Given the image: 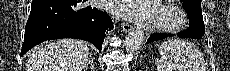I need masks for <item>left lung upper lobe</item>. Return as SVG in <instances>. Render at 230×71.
<instances>
[{"instance_id": "5c2ea615", "label": "left lung upper lobe", "mask_w": 230, "mask_h": 71, "mask_svg": "<svg viewBox=\"0 0 230 71\" xmlns=\"http://www.w3.org/2000/svg\"><path fill=\"white\" fill-rule=\"evenodd\" d=\"M183 3L185 9L187 8H197L201 10V0H180Z\"/></svg>"}]
</instances>
